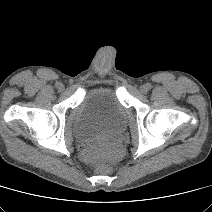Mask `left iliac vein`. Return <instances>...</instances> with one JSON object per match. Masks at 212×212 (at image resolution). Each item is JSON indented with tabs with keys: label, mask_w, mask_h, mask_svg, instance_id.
<instances>
[{
	"label": "left iliac vein",
	"mask_w": 212,
	"mask_h": 212,
	"mask_svg": "<svg viewBox=\"0 0 212 212\" xmlns=\"http://www.w3.org/2000/svg\"><path fill=\"white\" fill-rule=\"evenodd\" d=\"M140 91H141L142 93H146V92L148 91L147 86H146V85L141 86V87H140Z\"/></svg>",
	"instance_id": "4c4485c4"
}]
</instances>
